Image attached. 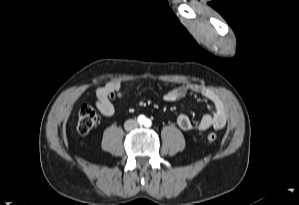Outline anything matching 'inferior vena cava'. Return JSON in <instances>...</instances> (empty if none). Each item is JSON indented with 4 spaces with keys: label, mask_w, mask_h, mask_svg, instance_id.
Returning a JSON list of instances; mask_svg holds the SVG:
<instances>
[{
    "label": "inferior vena cava",
    "mask_w": 299,
    "mask_h": 205,
    "mask_svg": "<svg viewBox=\"0 0 299 205\" xmlns=\"http://www.w3.org/2000/svg\"><path fill=\"white\" fill-rule=\"evenodd\" d=\"M137 126H138L137 121L133 120V119L127 120L124 124V128L127 131H131V130L137 128Z\"/></svg>",
    "instance_id": "602c4592"
}]
</instances>
